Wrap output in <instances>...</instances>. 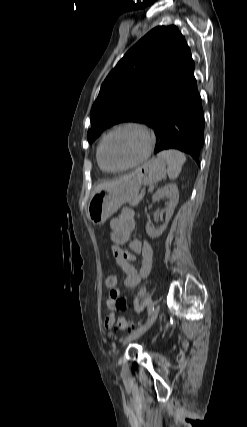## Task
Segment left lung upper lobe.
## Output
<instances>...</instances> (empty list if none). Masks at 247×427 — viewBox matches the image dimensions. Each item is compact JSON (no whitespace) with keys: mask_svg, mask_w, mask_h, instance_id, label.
<instances>
[{"mask_svg":"<svg viewBox=\"0 0 247 427\" xmlns=\"http://www.w3.org/2000/svg\"><path fill=\"white\" fill-rule=\"evenodd\" d=\"M194 67L190 48L176 26L152 29L103 82L90 112L89 143L119 122L152 126L168 97L191 81Z\"/></svg>","mask_w":247,"mask_h":427,"instance_id":"5c2ea615","label":"left lung upper lobe"}]
</instances>
